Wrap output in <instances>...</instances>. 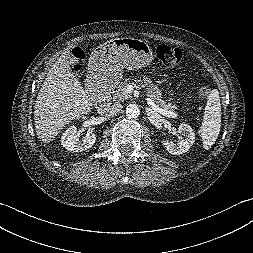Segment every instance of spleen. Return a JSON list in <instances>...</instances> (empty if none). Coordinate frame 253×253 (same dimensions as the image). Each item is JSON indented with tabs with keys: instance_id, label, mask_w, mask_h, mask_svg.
Wrapping results in <instances>:
<instances>
[{
	"instance_id": "3e777b00",
	"label": "spleen",
	"mask_w": 253,
	"mask_h": 253,
	"mask_svg": "<svg viewBox=\"0 0 253 253\" xmlns=\"http://www.w3.org/2000/svg\"><path fill=\"white\" fill-rule=\"evenodd\" d=\"M221 128V104L219 92L213 89L208 95L200 129L204 149H210L216 142Z\"/></svg>"
}]
</instances>
